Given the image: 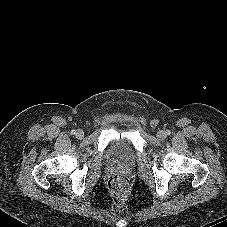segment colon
Returning a JSON list of instances; mask_svg holds the SVG:
<instances>
[{"instance_id":"obj_1","label":"colon","mask_w":227,"mask_h":227,"mask_svg":"<svg viewBox=\"0 0 227 227\" xmlns=\"http://www.w3.org/2000/svg\"><path fill=\"white\" fill-rule=\"evenodd\" d=\"M107 188L113 202L117 205L123 204L130 195L129 179L123 174L111 176L107 182Z\"/></svg>"}]
</instances>
